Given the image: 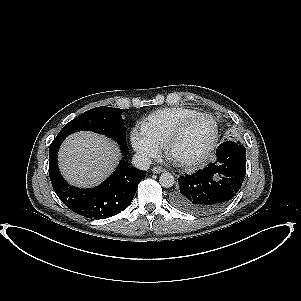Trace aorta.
Segmentation results:
<instances>
[{
  "label": "aorta",
  "instance_id": "762f6f07",
  "mask_svg": "<svg viewBox=\"0 0 301 301\" xmlns=\"http://www.w3.org/2000/svg\"><path fill=\"white\" fill-rule=\"evenodd\" d=\"M159 183L164 188H170L175 183L174 176L169 172H164L159 177Z\"/></svg>",
  "mask_w": 301,
  "mask_h": 301
}]
</instances>
